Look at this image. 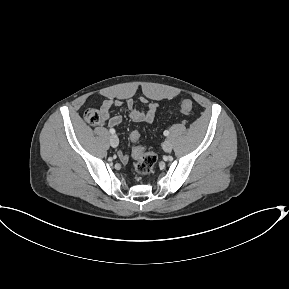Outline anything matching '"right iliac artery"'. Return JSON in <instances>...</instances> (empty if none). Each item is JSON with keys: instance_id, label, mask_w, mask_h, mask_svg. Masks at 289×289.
I'll list each match as a JSON object with an SVG mask.
<instances>
[{"instance_id": "right-iliac-artery-1", "label": "right iliac artery", "mask_w": 289, "mask_h": 289, "mask_svg": "<svg viewBox=\"0 0 289 289\" xmlns=\"http://www.w3.org/2000/svg\"><path fill=\"white\" fill-rule=\"evenodd\" d=\"M110 133H111V134H114V133H115V129L111 128V129H110Z\"/></svg>"}]
</instances>
